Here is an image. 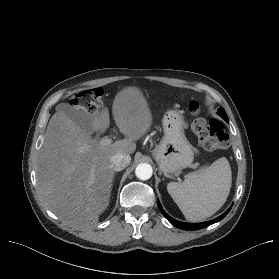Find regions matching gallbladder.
Returning <instances> with one entry per match:
<instances>
[{"label": "gallbladder", "mask_w": 279, "mask_h": 279, "mask_svg": "<svg viewBox=\"0 0 279 279\" xmlns=\"http://www.w3.org/2000/svg\"><path fill=\"white\" fill-rule=\"evenodd\" d=\"M59 109L81 129L92 132V119L84 109L73 107L69 104H61Z\"/></svg>", "instance_id": "obj_1"}]
</instances>
